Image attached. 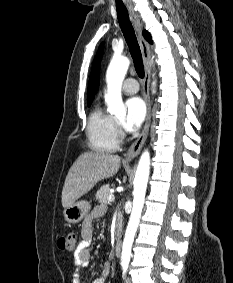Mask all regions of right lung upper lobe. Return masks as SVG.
<instances>
[{
	"label": "right lung upper lobe",
	"instance_id": "1",
	"mask_svg": "<svg viewBox=\"0 0 233 283\" xmlns=\"http://www.w3.org/2000/svg\"><path fill=\"white\" fill-rule=\"evenodd\" d=\"M143 36L144 38L149 42V43H153L152 42V38L149 32L147 31H143ZM100 60H101V53L98 52V54L96 55L93 67H92V71H91V75H90V79H89V85H88V104H91L94 96L97 92V89L99 87V79H100Z\"/></svg>",
	"mask_w": 233,
	"mask_h": 283
}]
</instances>
